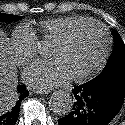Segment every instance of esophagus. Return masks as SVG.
Instances as JSON below:
<instances>
[{
    "instance_id": "1",
    "label": "esophagus",
    "mask_w": 125,
    "mask_h": 125,
    "mask_svg": "<svg viewBox=\"0 0 125 125\" xmlns=\"http://www.w3.org/2000/svg\"><path fill=\"white\" fill-rule=\"evenodd\" d=\"M36 93L44 95V94L50 93V91L49 90H37Z\"/></svg>"
}]
</instances>
